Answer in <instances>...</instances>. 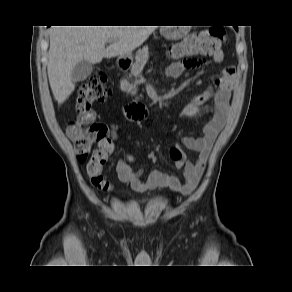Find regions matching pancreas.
Here are the masks:
<instances>
[{
    "mask_svg": "<svg viewBox=\"0 0 292 292\" xmlns=\"http://www.w3.org/2000/svg\"><path fill=\"white\" fill-rule=\"evenodd\" d=\"M148 59L149 51L148 47L145 46L136 53L135 62L132 64L130 76H134L135 78L139 77ZM121 90L127 93L135 94L136 85L130 84L127 79H123L121 80Z\"/></svg>",
    "mask_w": 292,
    "mask_h": 292,
    "instance_id": "obj_1",
    "label": "pancreas"
}]
</instances>
